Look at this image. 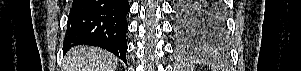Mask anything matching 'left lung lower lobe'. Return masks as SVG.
I'll list each match as a JSON object with an SVG mask.
<instances>
[{"label":"left lung lower lobe","mask_w":301,"mask_h":71,"mask_svg":"<svg viewBox=\"0 0 301 71\" xmlns=\"http://www.w3.org/2000/svg\"><path fill=\"white\" fill-rule=\"evenodd\" d=\"M176 33L193 47L225 48L224 14L220 0H178L175 2Z\"/></svg>","instance_id":"left-lung-lower-lobe-1"}]
</instances>
